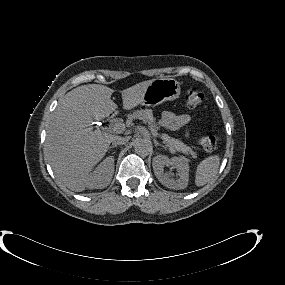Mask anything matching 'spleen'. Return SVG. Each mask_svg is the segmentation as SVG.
Segmentation results:
<instances>
[{
  "instance_id": "1",
  "label": "spleen",
  "mask_w": 285,
  "mask_h": 285,
  "mask_svg": "<svg viewBox=\"0 0 285 285\" xmlns=\"http://www.w3.org/2000/svg\"><path fill=\"white\" fill-rule=\"evenodd\" d=\"M219 165L220 157L218 155H212L203 160L196 169V186L200 187L209 183L216 175Z\"/></svg>"
}]
</instances>
